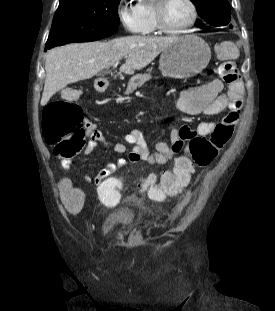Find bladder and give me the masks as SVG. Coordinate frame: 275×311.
Here are the masks:
<instances>
[{
  "label": "bladder",
  "instance_id": "1",
  "mask_svg": "<svg viewBox=\"0 0 275 311\" xmlns=\"http://www.w3.org/2000/svg\"><path fill=\"white\" fill-rule=\"evenodd\" d=\"M136 219L137 214L133 208H120L108 214L103 223V231L111 233L123 228H132Z\"/></svg>",
  "mask_w": 275,
  "mask_h": 311
}]
</instances>
